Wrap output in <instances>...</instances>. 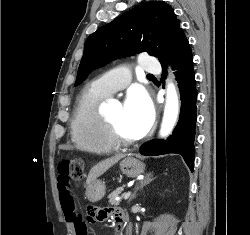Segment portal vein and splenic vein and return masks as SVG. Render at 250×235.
<instances>
[{
  "instance_id": "18ae733b",
  "label": "portal vein and splenic vein",
  "mask_w": 250,
  "mask_h": 235,
  "mask_svg": "<svg viewBox=\"0 0 250 235\" xmlns=\"http://www.w3.org/2000/svg\"><path fill=\"white\" fill-rule=\"evenodd\" d=\"M130 195H131V192H127V193H125V194L123 195V198H124L125 200H127V199L130 197ZM119 200H120V198L117 197V198H116V201H119Z\"/></svg>"
}]
</instances>
